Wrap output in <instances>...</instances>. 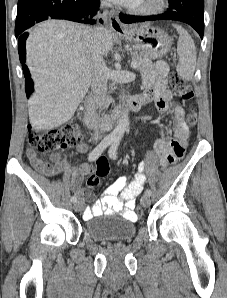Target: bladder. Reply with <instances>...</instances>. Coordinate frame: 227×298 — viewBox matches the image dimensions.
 Instances as JSON below:
<instances>
[{"mask_svg": "<svg viewBox=\"0 0 227 298\" xmlns=\"http://www.w3.org/2000/svg\"><path fill=\"white\" fill-rule=\"evenodd\" d=\"M87 235L103 244L131 240L137 232L135 222L121 219H91L86 222Z\"/></svg>", "mask_w": 227, "mask_h": 298, "instance_id": "31cf9c89", "label": "bladder"}]
</instances>
